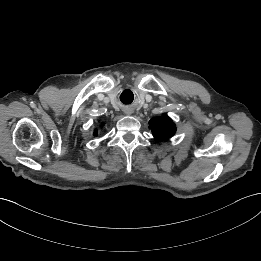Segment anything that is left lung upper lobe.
<instances>
[{"instance_id":"1","label":"left lung upper lobe","mask_w":261,"mask_h":261,"mask_svg":"<svg viewBox=\"0 0 261 261\" xmlns=\"http://www.w3.org/2000/svg\"><path fill=\"white\" fill-rule=\"evenodd\" d=\"M149 126L154 138L158 141L167 140L172 137L176 131L174 123L167 114L151 119Z\"/></svg>"}]
</instances>
